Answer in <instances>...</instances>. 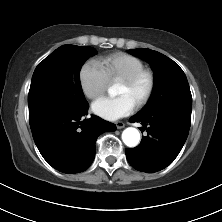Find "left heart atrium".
Masks as SVG:
<instances>
[{
    "mask_svg": "<svg viewBox=\"0 0 222 222\" xmlns=\"http://www.w3.org/2000/svg\"><path fill=\"white\" fill-rule=\"evenodd\" d=\"M91 108L93 113L104 119L117 120L131 114L135 109V103L127 95L101 97L92 104Z\"/></svg>",
    "mask_w": 222,
    "mask_h": 222,
    "instance_id": "left-heart-atrium-1",
    "label": "left heart atrium"
}]
</instances>
